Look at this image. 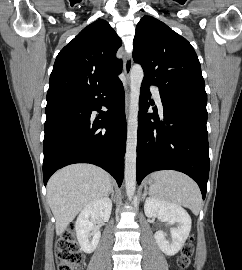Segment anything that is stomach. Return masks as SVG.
<instances>
[{"label": "stomach", "mask_w": 242, "mask_h": 270, "mask_svg": "<svg viewBox=\"0 0 242 270\" xmlns=\"http://www.w3.org/2000/svg\"><path fill=\"white\" fill-rule=\"evenodd\" d=\"M148 184H149L150 186H152V185L154 184V179H153V178H150V179L148 180Z\"/></svg>", "instance_id": "0dacf381"}]
</instances>
